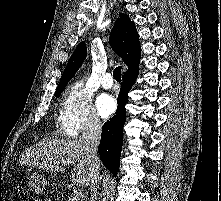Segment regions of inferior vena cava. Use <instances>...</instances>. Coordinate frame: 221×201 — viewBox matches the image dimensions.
<instances>
[{
    "instance_id": "1",
    "label": "inferior vena cava",
    "mask_w": 221,
    "mask_h": 201,
    "mask_svg": "<svg viewBox=\"0 0 221 201\" xmlns=\"http://www.w3.org/2000/svg\"><path fill=\"white\" fill-rule=\"evenodd\" d=\"M102 126L98 117L92 116L82 132V138L88 146L91 166L90 201H96L100 186V160L98 158V145L101 139Z\"/></svg>"
}]
</instances>
